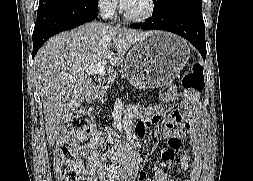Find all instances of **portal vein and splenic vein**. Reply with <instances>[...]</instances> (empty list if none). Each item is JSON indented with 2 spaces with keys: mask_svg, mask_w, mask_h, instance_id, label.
Segmentation results:
<instances>
[{
  "mask_svg": "<svg viewBox=\"0 0 253 181\" xmlns=\"http://www.w3.org/2000/svg\"><path fill=\"white\" fill-rule=\"evenodd\" d=\"M107 60H101L96 64H91L86 66L85 73L86 75H94L97 74L101 77H105L108 74V70L106 69Z\"/></svg>",
  "mask_w": 253,
  "mask_h": 181,
  "instance_id": "portal-vein-and-splenic-vein-1",
  "label": "portal vein and splenic vein"
}]
</instances>
